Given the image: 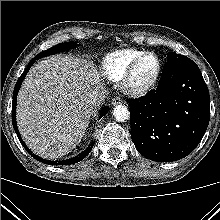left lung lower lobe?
I'll list each match as a JSON object with an SVG mask.
<instances>
[{
    "label": "left lung lower lobe",
    "mask_w": 220,
    "mask_h": 220,
    "mask_svg": "<svg viewBox=\"0 0 220 220\" xmlns=\"http://www.w3.org/2000/svg\"><path fill=\"white\" fill-rule=\"evenodd\" d=\"M131 138L144 157L172 162L189 155L204 136L210 120V96L197 64L168 60L158 87L128 100Z\"/></svg>",
    "instance_id": "0a47b994"
}]
</instances>
